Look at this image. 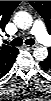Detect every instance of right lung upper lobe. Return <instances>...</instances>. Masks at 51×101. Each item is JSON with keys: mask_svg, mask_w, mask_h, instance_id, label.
I'll return each mask as SVG.
<instances>
[{"mask_svg": "<svg viewBox=\"0 0 51 101\" xmlns=\"http://www.w3.org/2000/svg\"><path fill=\"white\" fill-rule=\"evenodd\" d=\"M20 1H1L0 2V31H5L12 12L16 9ZM18 49L15 47L2 45L0 51V72L7 69L16 59Z\"/></svg>", "mask_w": 51, "mask_h": 101, "instance_id": "cb5924a9", "label": "right lung upper lobe"}]
</instances>
